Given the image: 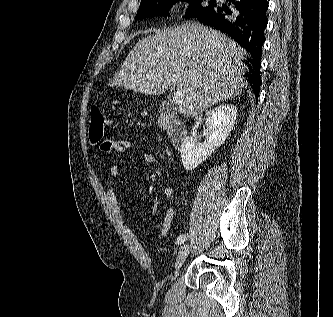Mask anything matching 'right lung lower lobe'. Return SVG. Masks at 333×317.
<instances>
[{
    "label": "right lung lower lobe",
    "instance_id": "obj_1",
    "mask_svg": "<svg viewBox=\"0 0 333 317\" xmlns=\"http://www.w3.org/2000/svg\"><path fill=\"white\" fill-rule=\"evenodd\" d=\"M233 9L220 8L216 4L201 11L197 20L204 25L226 33L252 56V68L246 79L258 101L261 85V48L264 43V30L267 26V0H228Z\"/></svg>",
    "mask_w": 333,
    "mask_h": 317
}]
</instances>
